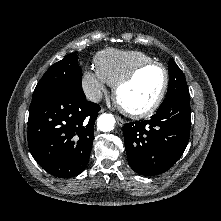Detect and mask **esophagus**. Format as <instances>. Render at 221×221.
<instances>
[{"instance_id": "1", "label": "esophagus", "mask_w": 221, "mask_h": 221, "mask_svg": "<svg viewBox=\"0 0 221 221\" xmlns=\"http://www.w3.org/2000/svg\"><path fill=\"white\" fill-rule=\"evenodd\" d=\"M103 111L104 110L102 109L101 112H103ZM116 120H117V123H118L119 126H123L124 121H123V119L121 117L116 116Z\"/></svg>"}]
</instances>
